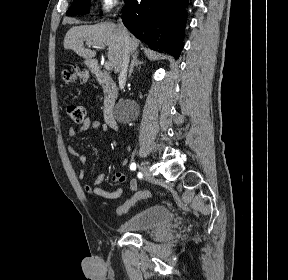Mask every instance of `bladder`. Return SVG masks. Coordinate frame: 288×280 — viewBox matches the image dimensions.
<instances>
[{"mask_svg":"<svg viewBox=\"0 0 288 280\" xmlns=\"http://www.w3.org/2000/svg\"><path fill=\"white\" fill-rule=\"evenodd\" d=\"M174 213L164 205H154L129 217L121 225L124 232H141L164 227L172 222Z\"/></svg>","mask_w":288,"mask_h":280,"instance_id":"1","label":"bladder"}]
</instances>
